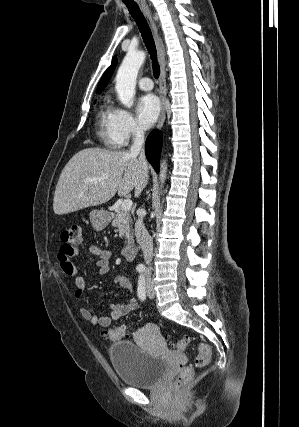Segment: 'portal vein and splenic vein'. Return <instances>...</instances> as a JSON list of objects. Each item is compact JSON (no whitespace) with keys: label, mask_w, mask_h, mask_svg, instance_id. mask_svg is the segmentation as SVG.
<instances>
[{"label":"portal vein and splenic vein","mask_w":299,"mask_h":427,"mask_svg":"<svg viewBox=\"0 0 299 427\" xmlns=\"http://www.w3.org/2000/svg\"><path fill=\"white\" fill-rule=\"evenodd\" d=\"M105 178H108V176L104 175L101 178H98V179L94 178V179H90V180L94 181V180H101V179H105ZM132 204L133 203H132V201L130 199H126V200L122 201L121 208L124 209V210H130L132 208Z\"/></svg>","instance_id":"18ae733b"}]
</instances>
